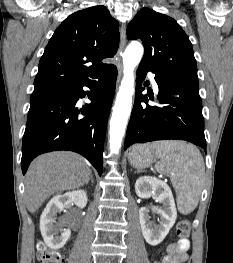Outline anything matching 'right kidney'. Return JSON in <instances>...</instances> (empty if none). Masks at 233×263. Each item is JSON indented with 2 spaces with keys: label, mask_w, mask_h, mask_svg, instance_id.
I'll return each instance as SVG.
<instances>
[{
  "label": "right kidney",
  "mask_w": 233,
  "mask_h": 263,
  "mask_svg": "<svg viewBox=\"0 0 233 263\" xmlns=\"http://www.w3.org/2000/svg\"><path fill=\"white\" fill-rule=\"evenodd\" d=\"M87 193L84 190H75L62 195L54 196L47 204L40 218V231L45 244L57 250L62 248L70 237V229L61 228L57 223V214L71 204L84 208L87 204Z\"/></svg>",
  "instance_id": "obj_1"
}]
</instances>
